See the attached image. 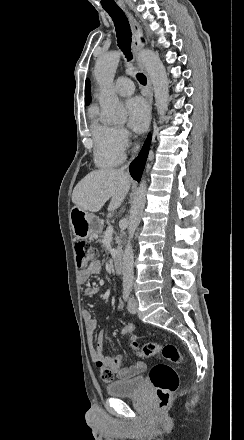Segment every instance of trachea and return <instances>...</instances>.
<instances>
[{"mask_svg":"<svg viewBox=\"0 0 244 440\" xmlns=\"http://www.w3.org/2000/svg\"><path fill=\"white\" fill-rule=\"evenodd\" d=\"M105 11L110 15L114 22L116 28V36L119 48L122 50L127 60H132L133 56L131 53V28L125 13L121 8L105 9ZM137 80L146 85V77L143 73L137 74Z\"/></svg>","mask_w":244,"mask_h":440,"instance_id":"obj_1","label":"trachea"}]
</instances>
